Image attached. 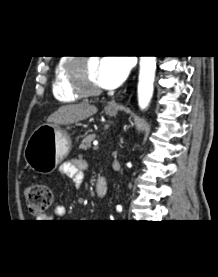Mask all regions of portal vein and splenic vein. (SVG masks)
I'll return each instance as SVG.
<instances>
[{"label":"portal vein and splenic vein","instance_id":"18ae733b","mask_svg":"<svg viewBox=\"0 0 218 277\" xmlns=\"http://www.w3.org/2000/svg\"><path fill=\"white\" fill-rule=\"evenodd\" d=\"M97 149H98V143H94L93 150H97Z\"/></svg>","mask_w":218,"mask_h":277}]
</instances>
